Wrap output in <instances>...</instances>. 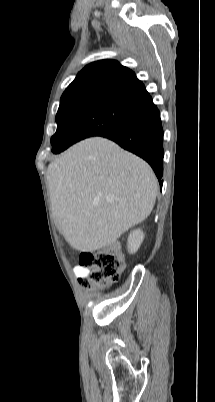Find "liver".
<instances>
[{"mask_svg": "<svg viewBox=\"0 0 215 402\" xmlns=\"http://www.w3.org/2000/svg\"><path fill=\"white\" fill-rule=\"evenodd\" d=\"M59 232L80 252L111 245L151 213L158 191L152 168L101 137L85 139L47 170Z\"/></svg>", "mask_w": 215, "mask_h": 402, "instance_id": "obj_1", "label": "liver"}]
</instances>
